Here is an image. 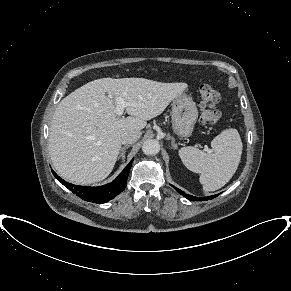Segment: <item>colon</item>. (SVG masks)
<instances>
[{"instance_id": "colon-1", "label": "colon", "mask_w": 291, "mask_h": 291, "mask_svg": "<svg viewBox=\"0 0 291 291\" xmlns=\"http://www.w3.org/2000/svg\"><path fill=\"white\" fill-rule=\"evenodd\" d=\"M200 93V121L202 124H217L222 117V113L215 107L221 99L220 93L209 84H203L199 90Z\"/></svg>"}]
</instances>
